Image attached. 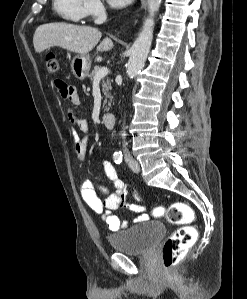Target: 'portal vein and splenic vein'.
<instances>
[{"instance_id":"obj_1","label":"portal vein and splenic vein","mask_w":247,"mask_h":299,"mask_svg":"<svg viewBox=\"0 0 247 299\" xmlns=\"http://www.w3.org/2000/svg\"><path fill=\"white\" fill-rule=\"evenodd\" d=\"M108 68L102 67L100 70L96 73L94 80H100L101 78L105 77L108 74Z\"/></svg>"}]
</instances>
